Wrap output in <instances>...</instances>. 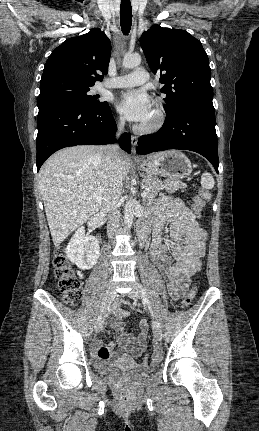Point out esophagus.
I'll return each mask as SVG.
<instances>
[{"label": "esophagus", "instance_id": "34e87169", "mask_svg": "<svg viewBox=\"0 0 259 431\" xmlns=\"http://www.w3.org/2000/svg\"><path fill=\"white\" fill-rule=\"evenodd\" d=\"M131 144H132V154L134 157H136V146H137V137L131 136Z\"/></svg>", "mask_w": 259, "mask_h": 431}]
</instances>
